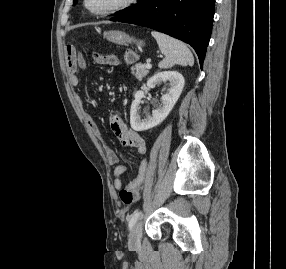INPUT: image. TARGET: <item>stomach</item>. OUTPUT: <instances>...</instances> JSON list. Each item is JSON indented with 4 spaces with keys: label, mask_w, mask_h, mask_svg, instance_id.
I'll list each match as a JSON object with an SVG mask.
<instances>
[{
    "label": "stomach",
    "mask_w": 286,
    "mask_h": 269,
    "mask_svg": "<svg viewBox=\"0 0 286 269\" xmlns=\"http://www.w3.org/2000/svg\"><path fill=\"white\" fill-rule=\"evenodd\" d=\"M105 37L110 42L116 43V44H123V43H129V42H136L139 47L144 45L143 41H137L134 38L130 37L126 33H123L121 31H109L105 33Z\"/></svg>",
    "instance_id": "obj_1"
}]
</instances>
